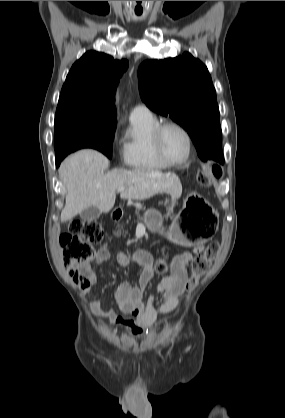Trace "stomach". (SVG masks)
I'll list each match as a JSON object with an SVG mask.
<instances>
[{"instance_id": "stomach-1", "label": "stomach", "mask_w": 285, "mask_h": 418, "mask_svg": "<svg viewBox=\"0 0 285 418\" xmlns=\"http://www.w3.org/2000/svg\"><path fill=\"white\" fill-rule=\"evenodd\" d=\"M216 211L200 195L189 194L181 211L173 219L168 232L169 239L182 246L191 247L212 239L216 232ZM156 213L146 212L144 222L150 230H155L153 220Z\"/></svg>"}]
</instances>
